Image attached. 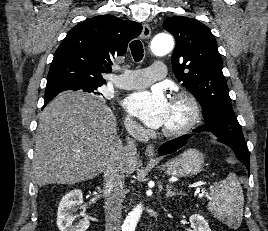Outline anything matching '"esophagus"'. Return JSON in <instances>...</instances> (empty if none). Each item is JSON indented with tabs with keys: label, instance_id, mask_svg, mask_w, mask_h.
Instances as JSON below:
<instances>
[{
	"label": "esophagus",
	"instance_id": "34e87169",
	"mask_svg": "<svg viewBox=\"0 0 268 231\" xmlns=\"http://www.w3.org/2000/svg\"><path fill=\"white\" fill-rule=\"evenodd\" d=\"M151 35V29L147 23H143L142 37L144 39L149 38ZM145 156L151 160H156L155 148L153 145H148L144 151Z\"/></svg>",
	"mask_w": 268,
	"mask_h": 231
}]
</instances>
